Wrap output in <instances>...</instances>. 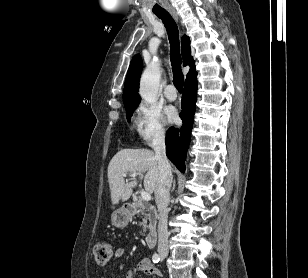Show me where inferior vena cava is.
<instances>
[{
  "instance_id": "602c4592",
  "label": "inferior vena cava",
  "mask_w": 308,
  "mask_h": 278,
  "mask_svg": "<svg viewBox=\"0 0 308 278\" xmlns=\"http://www.w3.org/2000/svg\"><path fill=\"white\" fill-rule=\"evenodd\" d=\"M153 148L159 165V179L155 188V201L158 208V252L168 253V204L173 180L171 165L166 156L165 132L159 131L153 139Z\"/></svg>"
}]
</instances>
